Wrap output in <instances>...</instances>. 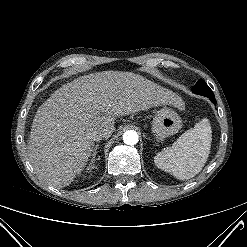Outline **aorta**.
<instances>
[{
  "mask_svg": "<svg viewBox=\"0 0 247 247\" xmlns=\"http://www.w3.org/2000/svg\"><path fill=\"white\" fill-rule=\"evenodd\" d=\"M123 141L127 145H135L138 142V134L134 130H128L123 134Z\"/></svg>",
  "mask_w": 247,
  "mask_h": 247,
  "instance_id": "762f6f07",
  "label": "aorta"
}]
</instances>
